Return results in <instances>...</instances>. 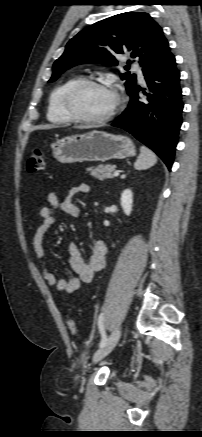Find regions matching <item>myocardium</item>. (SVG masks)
Wrapping results in <instances>:
<instances>
[{
  "label": "myocardium",
  "instance_id": "myocardium-1",
  "mask_svg": "<svg viewBox=\"0 0 202 437\" xmlns=\"http://www.w3.org/2000/svg\"><path fill=\"white\" fill-rule=\"evenodd\" d=\"M89 87H98L109 89L116 95V103L112 110L105 116L102 117H88L80 113L76 105L77 96L81 91ZM123 104V99L118 91L105 82L95 80V79H81L73 84L64 94L62 99V108L65 114L75 122L84 124H103L111 119H113L117 113L120 111Z\"/></svg>",
  "mask_w": 202,
  "mask_h": 437
}]
</instances>
